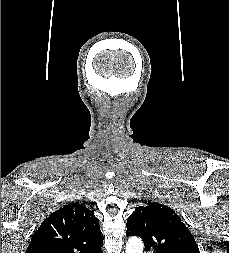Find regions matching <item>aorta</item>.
Listing matches in <instances>:
<instances>
[{
    "label": "aorta",
    "instance_id": "1",
    "mask_svg": "<svg viewBox=\"0 0 229 253\" xmlns=\"http://www.w3.org/2000/svg\"><path fill=\"white\" fill-rule=\"evenodd\" d=\"M126 253H143V243L141 239L133 237L126 243Z\"/></svg>",
    "mask_w": 229,
    "mask_h": 253
}]
</instances>
